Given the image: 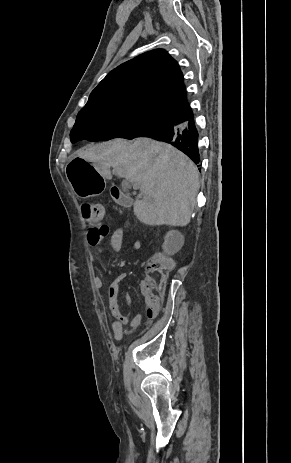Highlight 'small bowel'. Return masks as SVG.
<instances>
[{"instance_id":"c3829d8e","label":"small bowel","mask_w":291,"mask_h":463,"mask_svg":"<svg viewBox=\"0 0 291 463\" xmlns=\"http://www.w3.org/2000/svg\"><path fill=\"white\" fill-rule=\"evenodd\" d=\"M110 235L109 238V245L113 252H119L122 248V244L124 241V232L122 229H115L113 231L110 230L109 226L103 225L101 229L93 230L90 229L86 233V243L88 246L96 249L101 250L103 242L105 239ZM141 248V242L135 241L133 243V249L139 250ZM126 274L123 271H119L114 285L111 287L110 290V304L115 305V296L116 291L118 288L119 283L124 280ZM95 283L98 287H101L104 283L101 277H97ZM149 319H153L147 314ZM142 317L139 314L133 315L129 317H120L112 324L113 334L115 339L119 340L123 336V326L130 321V324L134 327L139 326L141 323Z\"/></svg>"}]
</instances>
